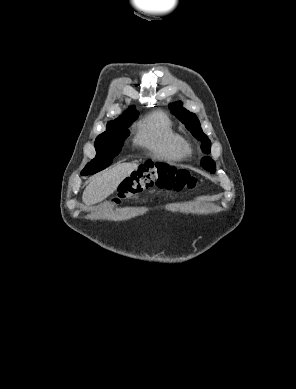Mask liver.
I'll return each instance as SVG.
<instances>
[{
	"label": "liver",
	"instance_id": "6515ba94",
	"mask_svg": "<svg viewBox=\"0 0 296 389\" xmlns=\"http://www.w3.org/2000/svg\"><path fill=\"white\" fill-rule=\"evenodd\" d=\"M138 166L136 163H121L93 177L83 192V202L86 205H93L103 201L118 188L126 177L137 170Z\"/></svg>",
	"mask_w": 296,
	"mask_h": 389
}]
</instances>
